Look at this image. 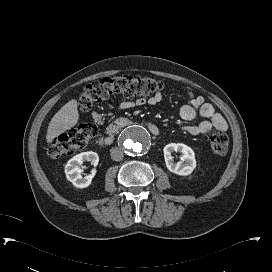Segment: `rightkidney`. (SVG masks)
Here are the masks:
<instances>
[{"label":"right kidney","mask_w":272,"mask_h":272,"mask_svg":"<svg viewBox=\"0 0 272 272\" xmlns=\"http://www.w3.org/2000/svg\"><path fill=\"white\" fill-rule=\"evenodd\" d=\"M84 161H90L92 165L96 166L99 162V156L96 152H83L71 158L65 166L66 178L77 188L88 187L96 173L95 170H92L91 174L82 177L79 165H81Z\"/></svg>","instance_id":"ca27d5eb"}]
</instances>
